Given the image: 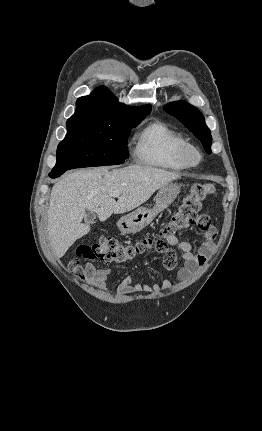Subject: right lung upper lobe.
Listing matches in <instances>:
<instances>
[{"label":"right lung upper lobe","instance_id":"cb5924a9","mask_svg":"<svg viewBox=\"0 0 262 431\" xmlns=\"http://www.w3.org/2000/svg\"><path fill=\"white\" fill-rule=\"evenodd\" d=\"M151 106L129 107L119 103L117 98L105 87H99L89 96L80 97L76 103L75 114L67 124L77 122H108L148 115Z\"/></svg>","mask_w":262,"mask_h":431}]
</instances>
